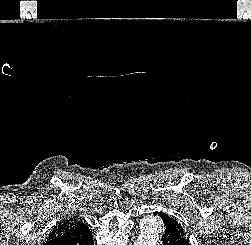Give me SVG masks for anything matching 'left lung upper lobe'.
<instances>
[{"mask_svg":"<svg viewBox=\"0 0 251 245\" xmlns=\"http://www.w3.org/2000/svg\"><path fill=\"white\" fill-rule=\"evenodd\" d=\"M166 216H167L166 219L162 218V220L164 222V226H167L168 224H171L173 227H175V229H177L180 232V234L182 235V237H184L185 239H187L186 238V233H185L184 229L182 228L181 224L178 223L177 220L174 219L173 217H171V216H169L167 214H166Z\"/></svg>","mask_w":251,"mask_h":245,"instance_id":"1","label":"left lung upper lobe"}]
</instances>
